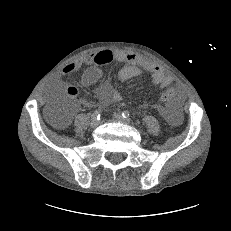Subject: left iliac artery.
<instances>
[{
	"instance_id": "left-iliac-artery-1",
	"label": "left iliac artery",
	"mask_w": 231,
	"mask_h": 231,
	"mask_svg": "<svg viewBox=\"0 0 231 231\" xmlns=\"http://www.w3.org/2000/svg\"><path fill=\"white\" fill-rule=\"evenodd\" d=\"M122 117L125 118V119H129L130 117V113L129 111L125 110L122 112Z\"/></svg>"
}]
</instances>
